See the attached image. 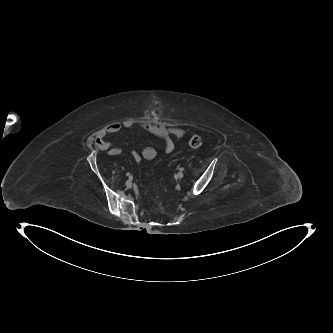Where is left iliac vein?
I'll return each instance as SVG.
<instances>
[{
  "mask_svg": "<svg viewBox=\"0 0 333 333\" xmlns=\"http://www.w3.org/2000/svg\"><path fill=\"white\" fill-rule=\"evenodd\" d=\"M183 176H184L183 172H178L175 177L176 179H181L183 178Z\"/></svg>",
  "mask_w": 333,
  "mask_h": 333,
  "instance_id": "1",
  "label": "left iliac vein"
}]
</instances>
